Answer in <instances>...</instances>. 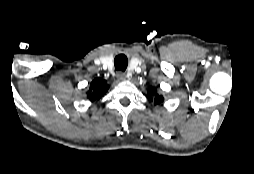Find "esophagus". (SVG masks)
Wrapping results in <instances>:
<instances>
[{
  "mask_svg": "<svg viewBox=\"0 0 254 174\" xmlns=\"http://www.w3.org/2000/svg\"><path fill=\"white\" fill-rule=\"evenodd\" d=\"M117 78L119 80H125L127 78L126 74L124 72H118L117 73Z\"/></svg>",
  "mask_w": 254,
  "mask_h": 174,
  "instance_id": "1",
  "label": "esophagus"
}]
</instances>
